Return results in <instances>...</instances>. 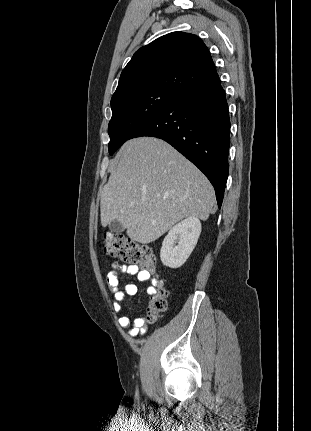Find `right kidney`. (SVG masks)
<instances>
[{"label": "right kidney", "instance_id": "1", "mask_svg": "<svg viewBox=\"0 0 311 431\" xmlns=\"http://www.w3.org/2000/svg\"><path fill=\"white\" fill-rule=\"evenodd\" d=\"M201 231V221L190 216L176 223L165 235L160 251L163 265L181 267L193 251ZM178 243V245H176Z\"/></svg>", "mask_w": 311, "mask_h": 431}]
</instances>
